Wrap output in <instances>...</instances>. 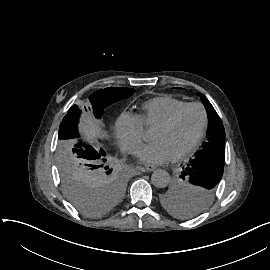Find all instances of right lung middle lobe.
I'll return each instance as SVG.
<instances>
[{
	"label": "right lung middle lobe",
	"mask_w": 270,
	"mask_h": 270,
	"mask_svg": "<svg viewBox=\"0 0 270 270\" xmlns=\"http://www.w3.org/2000/svg\"><path fill=\"white\" fill-rule=\"evenodd\" d=\"M130 88H105L89 96L85 112L100 118L108 105L129 98ZM81 111L73 105L63 118L58 135L57 168L60 183L68 202L86 216H99L109 211L122 198L125 175L121 166L96 146L83 142L77 124ZM75 139V140H74ZM109 159V161H107Z\"/></svg>",
	"instance_id": "obj_1"
}]
</instances>
